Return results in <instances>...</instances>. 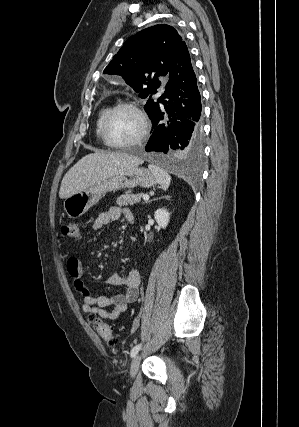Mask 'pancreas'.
<instances>
[{
  "label": "pancreas",
  "mask_w": 299,
  "mask_h": 427,
  "mask_svg": "<svg viewBox=\"0 0 299 427\" xmlns=\"http://www.w3.org/2000/svg\"><path fill=\"white\" fill-rule=\"evenodd\" d=\"M143 194H124L117 198V205L119 207L133 205L141 201Z\"/></svg>",
  "instance_id": "pancreas-1"
}]
</instances>
